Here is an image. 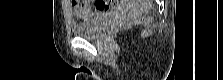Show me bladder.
<instances>
[{
  "mask_svg": "<svg viewBox=\"0 0 223 80\" xmlns=\"http://www.w3.org/2000/svg\"><path fill=\"white\" fill-rule=\"evenodd\" d=\"M110 13H103L84 22L71 24L72 33L80 38L94 39L105 29L110 19Z\"/></svg>",
  "mask_w": 223,
  "mask_h": 80,
  "instance_id": "obj_1",
  "label": "bladder"
}]
</instances>
